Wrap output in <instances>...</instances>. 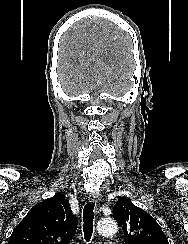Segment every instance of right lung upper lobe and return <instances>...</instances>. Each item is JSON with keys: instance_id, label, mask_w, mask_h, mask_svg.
<instances>
[{"instance_id": "obj_1", "label": "right lung upper lobe", "mask_w": 188, "mask_h": 244, "mask_svg": "<svg viewBox=\"0 0 188 244\" xmlns=\"http://www.w3.org/2000/svg\"><path fill=\"white\" fill-rule=\"evenodd\" d=\"M76 229L77 218L69 200L57 193L32 207L13 230L8 244H68Z\"/></svg>"}]
</instances>
